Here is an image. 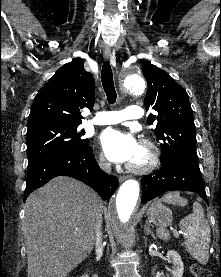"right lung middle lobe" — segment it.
I'll return each instance as SVG.
<instances>
[{
    "instance_id": "right-lung-middle-lobe-1",
    "label": "right lung middle lobe",
    "mask_w": 221,
    "mask_h": 277,
    "mask_svg": "<svg viewBox=\"0 0 221 277\" xmlns=\"http://www.w3.org/2000/svg\"><path fill=\"white\" fill-rule=\"evenodd\" d=\"M79 124L48 123L28 126V168L45 159L56 158L88 145L82 139L85 131H77Z\"/></svg>"
}]
</instances>
